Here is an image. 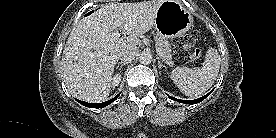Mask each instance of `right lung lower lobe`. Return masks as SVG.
I'll return each instance as SVG.
<instances>
[{
    "label": "right lung lower lobe",
    "instance_id": "right-lung-lower-lobe-1",
    "mask_svg": "<svg viewBox=\"0 0 276 138\" xmlns=\"http://www.w3.org/2000/svg\"><path fill=\"white\" fill-rule=\"evenodd\" d=\"M119 94L112 98L111 100H108L106 102H103V103H87V102H84V101H80L78 99H76L80 104L86 106V107H90V108H104L105 106L111 104L113 101H115L117 98H118Z\"/></svg>",
    "mask_w": 276,
    "mask_h": 138
}]
</instances>
